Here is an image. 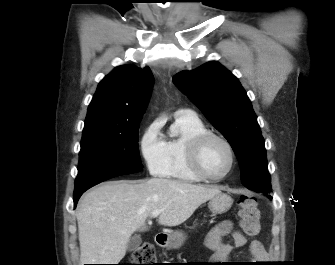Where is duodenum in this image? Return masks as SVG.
I'll return each mask as SVG.
<instances>
[{"mask_svg": "<svg viewBox=\"0 0 335 265\" xmlns=\"http://www.w3.org/2000/svg\"><path fill=\"white\" fill-rule=\"evenodd\" d=\"M168 237L164 233H159L155 237V242L159 247H164L167 243Z\"/></svg>", "mask_w": 335, "mask_h": 265, "instance_id": "1", "label": "duodenum"}]
</instances>
